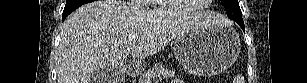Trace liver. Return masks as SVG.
Returning <instances> with one entry per match:
<instances>
[{
  "label": "liver",
  "mask_w": 307,
  "mask_h": 83,
  "mask_svg": "<svg viewBox=\"0 0 307 83\" xmlns=\"http://www.w3.org/2000/svg\"><path fill=\"white\" fill-rule=\"evenodd\" d=\"M218 21L210 12L170 14L143 10L122 0L85 4L62 24L56 63L58 83H91L92 72L98 67L122 70L129 55L133 60H143L180 34Z\"/></svg>",
  "instance_id": "1"
}]
</instances>
